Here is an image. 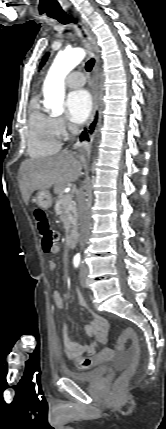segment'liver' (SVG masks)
<instances>
[{
    "label": "liver",
    "instance_id": "obj_1",
    "mask_svg": "<svg viewBox=\"0 0 166 429\" xmlns=\"http://www.w3.org/2000/svg\"><path fill=\"white\" fill-rule=\"evenodd\" d=\"M82 166L83 161L67 150L53 157L23 161L19 168V188L25 204L36 190L54 186L55 193L62 192L69 183L78 179Z\"/></svg>",
    "mask_w": 166,
    "mask_h": 429
}]
</instances>
